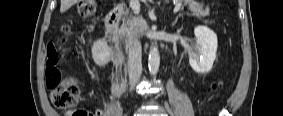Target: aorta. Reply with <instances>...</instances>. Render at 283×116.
Masks as SVG:
<instances>
[{
  "label": "aorta",
  "mask_w": 283,
  "mask_h": 116,
  "mask_svg": "<svg viewBox=\"0 0 283 116\" xmlns=\"http://www.w3.org/2000/svg\"><path fill=\"white\" fill-rule=\"evenodd\" d=\"M160 55L156 46H151L148 58V67L151 75L155 76L159 70Z\"/></svg>",
  "instance_id": "762f6f07"
}]
</instances>
